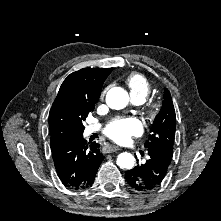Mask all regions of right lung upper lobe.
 Listing matches in <instances>:
<instances>
[{
    "label": "right lung upper lobe",
    "mask_w": 221,
    "mask_h": 221,
    "mask_svg": "<svg viewBox=\"0 0 221 221\" xmlns=\"http://www.w3.org/2000/svg\"><path fill=\"white\" fill-rule=\"evenodd\" d=\"M112 69L84 68L66 77L49 113L51 149L80 135V108L94 107Z\"/></svg>",
    "instance_id": "cb5924a9"
}]
</instances>
